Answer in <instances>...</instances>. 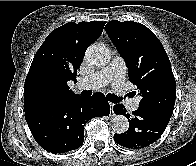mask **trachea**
Segmentation results:
<instances>
[{
  "label": "trachea",
  "instance_id": "trachea-1",
  "mask_svg": "<svg viewBox=\"0 0 196 166\" xmlns=\"http://www.w3.org/2000/svg\"><path fill=\"white\" fill-rule=\"evenodd\" d=\"M107 99L109 100V101H111L112 103H118V102H120L121 101V98L120 97H117V96H115V95H113V94H107Z\"/></svg>",
  "mask_w": 196,
  "mask_h": 166
}]
</instances>
